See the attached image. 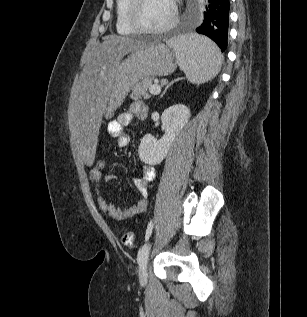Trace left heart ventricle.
I'll return each mask as SVG.
<instances>
[{
  "label": "left heart ventricle",
  "instance_id": "1",
  "mask_svg": "<svg viewBox=\"0 0 307 317\" xmlns=\"http://www.w3.org/2000/svg\"><path fill=\"white\" fill-rule=\"evenodd\" d=\"M172 16L170 0H143L139 9L141 23L150 28H159Z\"/></svg>",
  "mask_w": 307,
  "mask_h": 317
}]
</instances>
